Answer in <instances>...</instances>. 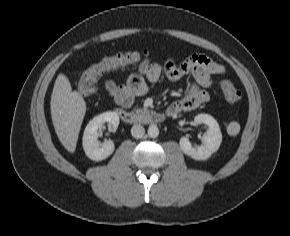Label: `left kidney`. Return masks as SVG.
Masks as SVG:
<instances>
[{
    "label": "left kidney",
    "instance_id": "1",
    "mask_svg": "<svg viewBox=\"0 0 290 236\" xmlns=\"http://www.w3.org/2000/svg\"><path fill=\"white\" fill-rule=\"evenodd\" d=\"M194 121L208 126L206 134L203 136V144L198 147L192 146L189 139L182 137L180 139V148L184 154L195 160H206L218 150L222 142V134L218 122L208 114H198Z\"/></svg>",
    "mask_w": 290,
    "mask_h": 236
}]
</instances>
